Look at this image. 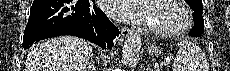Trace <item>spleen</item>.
<instances>
[{"instance_id": "3e777b00", "label": "spleen", "mask_w": 230, "mask_h": 71, "mask_svg": "<svg viewBox=\"0 0 230 71\" xmlns=\"http://www.w3.org/2000/svg\"><path fill=\"white\" fill-rule=\"evenodd\" d=\"M173 71H208L207 61L200 47L189 40L180 41L178 44Z\"/></svg>"}]
</instances>
